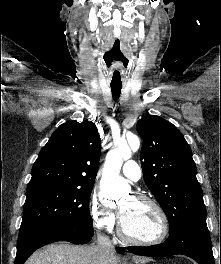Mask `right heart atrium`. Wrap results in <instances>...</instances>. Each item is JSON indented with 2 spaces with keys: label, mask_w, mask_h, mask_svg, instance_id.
<instances>
[{
  "label": "right heart atrium",
  "mask_w": 221,
  "mask_h": 264,
  "mask_svg": "<svg viewBox=\"0 0 221 264\" xmlns=\"http://www.w3.org/2000/svg\"><path fill=\"white\" fill-rule=\"evenodd\" d=\"M87 211L94 228L103 233H111L115 229V215L103 206L95 194L89 197Z\"/></svg>",
  "instance_id": "obj_1"
}]
</instances>
